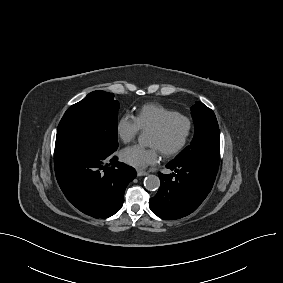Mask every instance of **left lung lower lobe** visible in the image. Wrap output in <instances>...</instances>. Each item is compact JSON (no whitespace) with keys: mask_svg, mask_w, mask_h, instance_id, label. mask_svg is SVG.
<instances>
[{"mask_svg":"<svg viewBox=\"0 0 283 283\" xmlns=\"http://www.w3.org/2000/svg\"><path fill=\"white\" fill-rule=\"evenodd\" d=\"M166 167L174 173H159L160 188L149 207L160 218L179 219L200 206L213 187L218 169L199 159L171 161Z\"/></svg>","mask_w":283,"mask_h":283,"instance_id":"obj_1","label":"left lung lower lobe"}]
</instances>
